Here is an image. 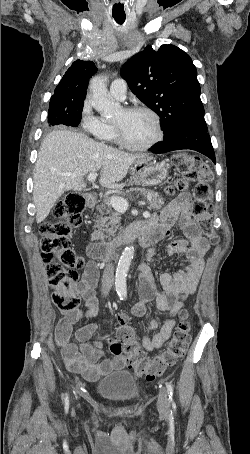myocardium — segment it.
Wrapping results in <instances>:
<instances>
[{"mask_svg": "<svg viewBox=\"0 0 250 454\" xmlns=\"http://www.w3.org/2000/svg\"><path fill=\"white\" fill-rule=\"evenodd\" d=\"M123 110L125 112H139L140 111V112H145V113L149 114L153 118L155 127H156V134L152 140H150L148 143H146L144 145H134L126 139L122 128L118 124L113 123V127H114L115 134H116V140L123 147H125L129 150H132V151H147V150L153 148L155 145H157L160 141H162V139L164 137V132H163L161 119H160V116L153 109H151L150 107H147V106H143V105H134V106L125 107Z\"/></svg>", "mask_w": 250, "mask_h": 454, "instance_id": "1", "label": "myocardium"}]
</instances>
